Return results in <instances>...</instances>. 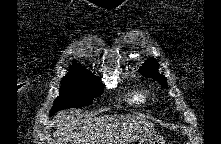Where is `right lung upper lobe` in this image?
<instances>
[{"mask_svg":"<svg viewBox=\"0 0 221 144\" xmlns=\"http://www.w3.org/2000/svg\"><path fill=\"white\" fill-rule=\"evenodd\" d=\"M75 68H83V66H81L79 63H74L73 66L71 67V69H75Z\"/></svg>","mask_w":221,"mask_h":144,"instance_id":"cb5924a9","label":"right lung upper lobe"}]
</instances>
